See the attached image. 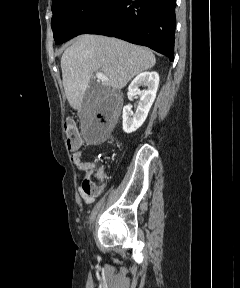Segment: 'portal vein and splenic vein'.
I'll list each match as a JSON object with an SVG mask.
<instances>
[{"instance_id": "18ae733b", "label": "portal vein and splenic vein", "mask_w": 240, "mask_h": 288, "mask_svg": "<svg viewBox=\"0 0 240 288\" xmlns=\"http://www.w3.org/2000/svg\"><path fill=\"white\" fill-rule=\"evenodd\" d=\"M96 77H97V79L102 80V81H107V80H108V79L105 77V75H104L103 73H101V72H97V73H96Z\"/></svg>"}]
</instances>
